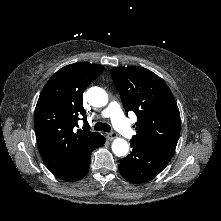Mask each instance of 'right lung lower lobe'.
<instances>
[{
	"instance_id": "1",
	"label": "right lung lower lobe",
	"mask_w": 221,
	"mask_h": 221,
	"mask_svg": "<svg viewBox=\"0 0 221 221\" xmlns=\"http://www.w3.org/2000/svg\"><path fill=\"white\" fill-rule=\"evenodd\" d=\"M105 141L106 139L102 135H99L96 142L91 146V148L72 157L60 167L51 170L52 174L57 178L68 182L82 179L89 171L91 154L93 150L96 147L104 145Z\"/></svg>"
}]
</instances>
